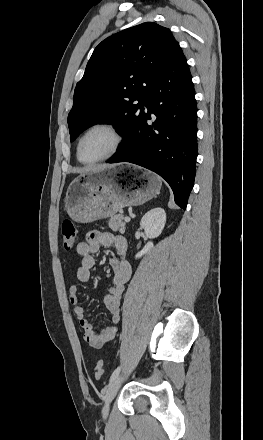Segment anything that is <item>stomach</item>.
<instances>
[{
    "label": "stomach",
    "mask_w": 263,
    "mask_h": 440,
    "mask_svg": "<svg viewBox=\"0 0 263 440\" xmlns=\"http://www.w3.org/2000/svg\"><path fill=\"white\" fill-rule=\"evenodd\" d=\"M129 173L124 174L123 170ZM160 178L134 166L104 167L87 171L68 186L65 209L76 222L88 223L114 216L127 206H138L155 197Z\"/></svg>",
    "instance_id": "0dacf381"
}]
</instances>
